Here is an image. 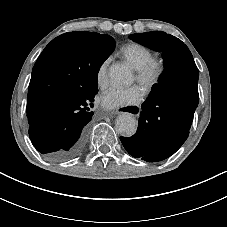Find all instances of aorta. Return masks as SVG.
Returning a JSON list of instances; mask_svg holds the SVG:
<instances>
[{"instance_id":"762f6f07","label":"aorta","mask_w":227,"mask_h":227,"mask_svg":"<svg viewBox=\"0 0 227 227\" xmlns=\"http://www.w3.org/2000/svg\"><path fill=\"white\" fill-rule=\"evenodd\" d=\"M109 77L116 84H129L133 80L129 67L120 63L110 66ZM116 127L122 136L131 137L137 130V120L131 113H123L118 117Z\"/></svg>"}]
</instances>
